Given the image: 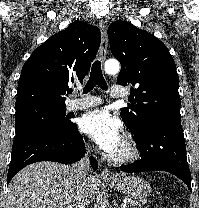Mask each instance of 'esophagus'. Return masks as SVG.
Returning a JSON list of instances; mask_svg holds the SVG:
<instances>
[{"label": "esophagus", "mask_w": 199, "mask_h": 208, "mask_svg": "<svg viewBox=\"0 0 199 208\" xmlns=\"http://www.w3.org/2000/svg\"><path fill=\"white\" fill-rule=\"evenodd\" d=\"M99 29L101 32V47L99 54H100V60L104 62L108 51V38H107L106 25L103 20L99 21ZM101 176L103 178H109V179L116 178V176L106 167L102 170Z\"/></svg>", "instance_id": "obj_1"}]
</instances>
